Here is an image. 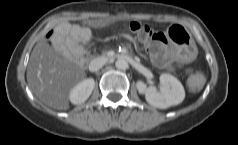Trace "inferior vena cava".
I'll return each mask as SVG.
<instances>
[{
  "label": "inferior vena cava",
  "mask_w": 238,
  "mask_h": 145,
  "mask_svg": "<svg viewBox=\"0 0 238 145\" xmlns=\"http://www.w3.org/2000/svg\"><path fill=\"white\" fill-rule=\"evenodd\" d=\"M107 63L105 57H97L89 63V70L92 72L98 71Z\"/></svg>",
  "instance_id": "inferior-vena-cava-1"
}]
</instances>
